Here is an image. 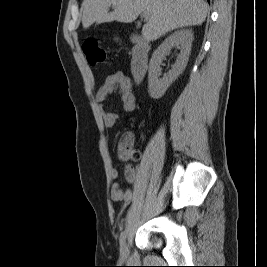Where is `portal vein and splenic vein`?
<instances>
[{
  "label": "portal vein and splenic vein",
  "instance_id": "18ae733b",
  "mask_svg": "<svg viewBox=\"0 0 267 267\" xmlns=\"http://www.w3.org/2000/svg\"><path fill=\"white\" fill-rule=\"evenodd\" d=\"M141 16H142V17H146V13H145V12L142 13Z\"/></svg>",
  "mask_w": 267,
  "mask_h": 267
}]
</instances>
